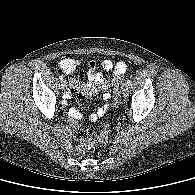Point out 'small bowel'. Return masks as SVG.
<instances>
[{"label":"small bowel","mask_w":195,"mask_h":195,"mask_svg":"<svg viewBox=\"0 0 195 195\" xmlns=\"http://www.w3.org/2000/svg\"><path fill=\"white\" fill-rule=\"evenodd\" d=\"M81 64L80 60L75 59H65L60 63V67L64 73L67 75H72L77 67ZM99 68H102L105 71H110L114 68V73L110 77H104L101 72H99ZM126 71V64L122 61H118L114 63L110 59H104L101 62L89 61L86 65V73H87V82H79L74 79L69 81L70 86L76 90H79L81 93L87 96L98 95L101 94L102 98L105 101H108L111 97L109 89L112 85H114L120 77ZM64 99L69 101L72 99V93L67 92L64 95ZM108 109V104H104L102 107L93 110L91 113V119L97 120L102 117ZM68 116L71 124L76 123L77 121L82 119V113L78 107H70L68 109Z\"/></svg>","instance_id":"small-bowel-1"}]
</instances>
